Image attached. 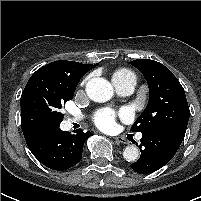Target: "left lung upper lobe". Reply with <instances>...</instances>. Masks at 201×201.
Segmentation results:
<instances>
[{"instance_id": "5c2ea615", "label": "left lung upper lobe", "mask_w": 201, "mask_h": 201, "mask_svg": "<svg viewBox=\"0 0 201 201\" xmlns=\"http://www.w3.org/2000/svg\"><path fill=\"white\" fill-rule=\"evenodd\" d=\"M147 80L149 102L131 127V131L145 132L155 126L179 123L188 124L189 106L185 91L178 79L163 64L137 59L130 62Z\"/></svg>"}]
</instances>
